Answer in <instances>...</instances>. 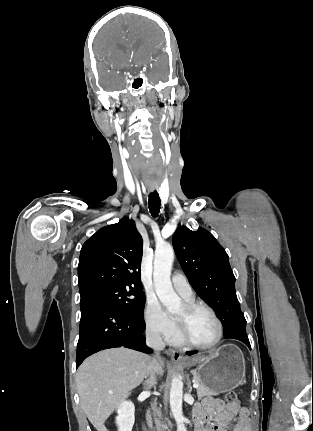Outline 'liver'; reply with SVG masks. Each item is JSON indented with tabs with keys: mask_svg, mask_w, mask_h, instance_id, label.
<instances>
[{
	"mask_svg": "<svg viewBox=\"0 0 313 431\" xmlns=\"http://www.w3.org/2000/svg\"><path fill=\"white\" fill-rule=\"evenodd\" d=\"M150 362L146 354L112 348L94 354L81 364L76 374L80 404L97 431H107L105 420L141 384Z\"/></svg>",
	"mask_w": 313,
	"mask_h": 431,
	"instance_id": "liver-1",
	"label": "liver"
}]
</instances>
